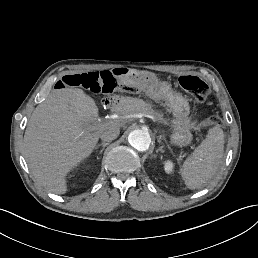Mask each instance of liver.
<instances>
[{
  "label": "liver",
  "instance_id": "liver-1",
  "mask_svg": "<svg viewBox=\"0 0 258 258\" xmlns=\"http://www.w3.org/2000/svg\"><path fill=\"white\" fill-rule=\"evenodd\" d=\"M94 101L81 89L56 90L33 111L24 134L23 153L36 181L64 193V175L86 158L99 131L84 124L98 119Z\"/></svg>",
  "mask_w": 258,
  "mask_h": 258
}]
</instances>
